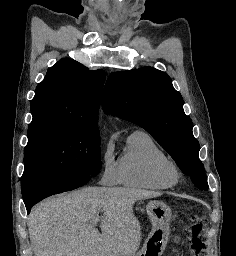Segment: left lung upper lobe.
Masks as SVG:
<instances>
[{"label": "left lung upper lobe", "instance_id": "5c2ea615", "mask_svg": "<svg viewBox=\"0 0 236 256\" xmlns=\"http://www.w3.org/2000/svg\"><path fill=\"white\" fill-rule=\"evenodd\" d=\"M102 105L106 113L133 122L149 132L200 190H208L200 145L193 123L183 110V98L171 78L143 67L113 73L107 80Z\"/></svg>", "mask_w": 236, "mask_h": 256}]
</instances>
